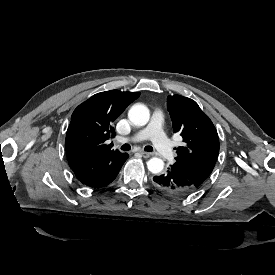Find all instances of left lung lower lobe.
Returning <instances> with one entry per match:
<instances>
[{"mask_svg":"<svg viewBox=\"0 0 275 275\" xmlns=\"http://www.w3.org/2000/svg\"><path fill=\"white\" fill-rule=\"evenodd\" d=\"M154 186L173 197L188 196L197 190L195 185L174 165L167 172L153 177Z\"/></svg>","mask_w":275,"mask_h":275,"instance_id":"obj_1","label":"left lung lower lobe"}]
</instances>
